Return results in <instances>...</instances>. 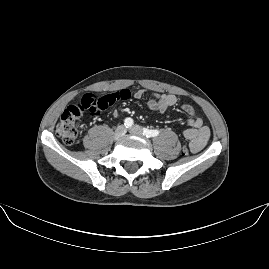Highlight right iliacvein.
I'll return each instance as SVG.
<instances>
[{"label": "right iliac vein", "mask_w": 269, "mask_h": 269, "mask_svg": "<svg viewBox=\"0 0 269 269\" xmlns=\"http://www.w3.org/2000/svg\"><path fill=\"white\" fill-rule=\"evenodd\" d=\"M126 134V128L124 125H120L117 127V129L115 130L114 133V138L116 140H119L120 138H122L124 135Z\"/></svg>", "instance_id": "63e3f726"}]
</instances>
